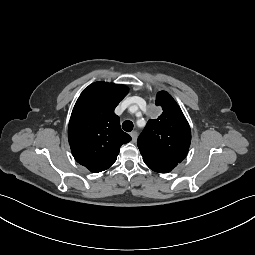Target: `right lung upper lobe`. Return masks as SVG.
<instances>
[{
  "instance_id": "obj_1",
  "label": "right lung upper lobe",
  "mask_w": 255,
  "mask_h": 255,
  "mask_svg": "<svg viewBox=\"0 0 255 255\" xmlns=\"http://www.w3.org/2000/svg\"><path fill=\"white\" fill-rule=\"evenodd\" d=\"M128 88L106 82L89 85L78 98L68 126V140L75 160L91 172L110 168L122 144L131 137L122 131L115 107Z\"/></svg>"
}]
</instances>
